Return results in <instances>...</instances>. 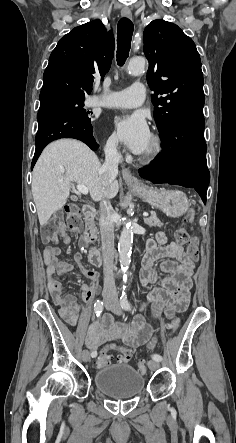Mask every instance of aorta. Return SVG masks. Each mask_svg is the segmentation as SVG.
<instances>
[{
    "label": "aorta",
    "mask_w": 236,
    "mask_h": 443,
    "mask_svg": "<svg viewBox=\"0 0 236 443\" xmlns=\"http://www.w3.org/2000/svg\"><path fill=\"white\" fill-rule=\"evenodd\" d=\"M146 60L144 58H135L132 59L127 65V70L131 75L138 76L142 74L145 70ZM133 243V232L129 225L123 228L119 243H118V252H119V261L121 268L126 270L131 262V250Z\"/></svg>",
    "instance_id": "obj_1"
}]
</instances>
